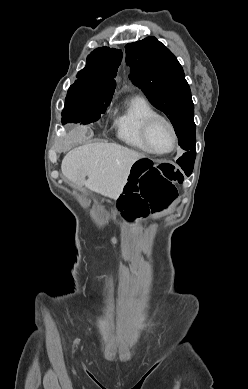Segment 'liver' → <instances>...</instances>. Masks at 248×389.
Returning a JSON list of instances; mask_svg holds the SVG:
<instances>
[{
  "mask_svg": "<svg viewBox=\"0 0 248 389\" xmlns=\"http://www.w3.org/2000/svg\"><path fill=\"white\" fill-rule=\"evenodd\" d=\"M142 158L143 154L115 143H91L68 152L61 170L77 188L86 186L116 199L127 183L132 165Z\"/></svg>",
  "mask_w": 248,
  "mask_h": 389,
  "instance_id": "liver-1",
  "label": "liver"
}]
</instances>
